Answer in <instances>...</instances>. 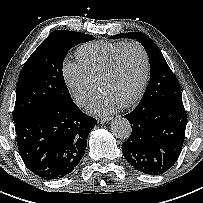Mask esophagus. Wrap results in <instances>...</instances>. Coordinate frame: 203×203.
I'll use <instances>...</instances> for the list:
<instances>
[{
	"mask_svg": "<svg viewBox=\"0 0 203 203\" xmlns=\"http://www.w3.org/2000/svg\"><path fill=\"white\" fill-rule=\"evenodd\" d=\"M110 120H111L110 117H104V118H98V119H97L98 123H100V124L107 123V122H109Z\"/></svg>",
	"mask_w": 203,
	"mask_h": 203,
	"instance_id": "1",
	"label": "esophagus"
}]
</instances>
